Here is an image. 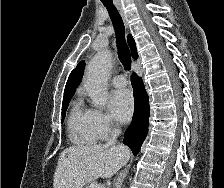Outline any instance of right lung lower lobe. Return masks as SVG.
I'll use <instances>...</instances> for the list:
<instances>
[{
  "label": "right lung lower lobe",
  "mask_w": 224,
  "mask_h": 188,
  "mask_svg": "<svg viewBox=\"0 0 224 188\" xmlns=\"http://www.w3.org/2000/svg\"><path fill=\"white\" fill-rule=\"evenodd\" d=\"M131 83L134 92L135 110L132 122L126 130L123 143L136 155L139 153L147 135L150 109L143 82L136 73L131 76Z\"/></svg>",
  "instance_id": "right-lung-lower-lobe-1"
}]
</instances>
